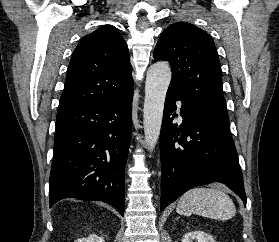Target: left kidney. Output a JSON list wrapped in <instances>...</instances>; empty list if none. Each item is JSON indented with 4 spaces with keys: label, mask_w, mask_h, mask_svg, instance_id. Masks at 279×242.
I'll use <instances>...</instances> for the list:
<instances>
[{
    "label": "left kidney",
    "mask_w": 279,
    "mask_h": 242,
    "mask_svg": "<svg viewBox=\"0 0 279 242\" xmlns=\"http://www.w3.org/2000/svg\"><path fill=\"white\" fill-rule=\"evenodd\" d=\"M194 239H196L197 242H216L212 236L203 231H192L186 233L182 238V242H193Z\"/></svg>",
    "instance_id": "obj_1"
}]
</instances>
